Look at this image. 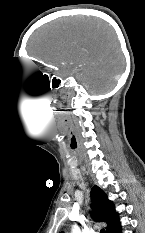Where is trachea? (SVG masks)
<instances>
[{
	"instance_id": "obj_1",
	"label": "trachea",
	"mask_w": 145,
	"mask_h": 233,
	"mask_svg": "<svg viewBox=\"0 0 145 233\" xmlns=\"http://www.w3.org/2000/svg\"><path fill=\"white\" fill-rule=\"evenodd\" d=\"M100 233H105V230H104V229H101V230H100Z\"/></svg>"
}]
</instances>
